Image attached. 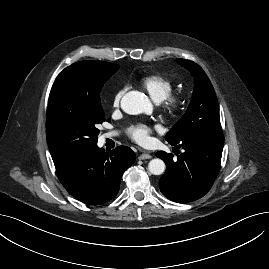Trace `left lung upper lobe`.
I'll return each instance as SVG.
<instances>
[{
	"mask_svg": "<svg viewBox=\"0 0 269 269\" xmlns=\"http://www.w3.org/2000/svg\"><path fill=\"white\" fill-rule=\"evenodd\" d=\"M176 61L194 76V91L186 113L165 136L171 145L199 131H222L217 97L206 73L190 60Z\"/></svg>",
	"mask_w": 269,
	"mask_h": 269,
	"instance_id": "1",
	"label": "left lung upper lobe"
}]
</instances>
